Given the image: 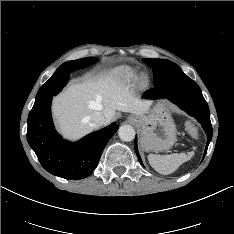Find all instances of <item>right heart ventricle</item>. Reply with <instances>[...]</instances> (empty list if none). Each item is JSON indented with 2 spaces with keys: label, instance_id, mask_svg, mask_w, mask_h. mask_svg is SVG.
Segmentation results:
<instances>
[{
  "label": "right heart ventricle",
  "instance_id": "1",
  "mask_svg": "<svg viewBox=\"0 0 234 234\" xmlns=\"http://www.w3.org/2000/svg\"><path fill=\"white\" fill-rule=\"evenodd\" d=\"M136 75V69L127 67L117 71L115 78L121 83H129L135 79Z\"/></svg>",
  "mask_w": 234,
  "mask_h": 234
}]
</instances>
